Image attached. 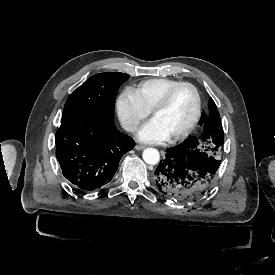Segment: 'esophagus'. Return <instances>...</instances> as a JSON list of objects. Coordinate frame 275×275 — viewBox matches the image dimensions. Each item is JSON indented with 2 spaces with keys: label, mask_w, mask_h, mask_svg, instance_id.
<instances>
[{
  "label": "esophagus",
  "mask_w": 275,
  "mask_h": 275,
  "mask_svg": "<svg viewBox=\"0 0 275 275\" xmlns=\"http://www.w3.org/2000/svg\"><path fill=\"white\" fill-rule=\"evenodd\" d=\"M144 148H146V145H144V144H137V145L135 146V149H136V150H142V149H144Z\"/></svg>",
  "instance_id": "34e87169"
}]
</instances>
